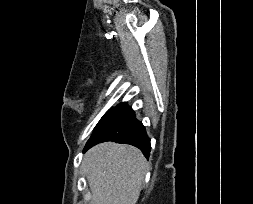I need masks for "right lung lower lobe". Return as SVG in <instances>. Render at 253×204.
<instances>
[{"mask_svg":"<svg viewBox=\"0 0 253 204\" xmlns=\"http://www.w3.org/2000/svg\"><path fill=\"white\" fill-rule=\"evenodd\" d=\"M106 141L126 143L138 147L148 159L150 155V139L145 127L135 118L134 111L127 103H122L93 132L86 143L84 152L90 147Z\"/></svg>","mask_w":253,"mask_h":204,"instance_id":"1","label":"right lung lower lobe"}]
</instances>
